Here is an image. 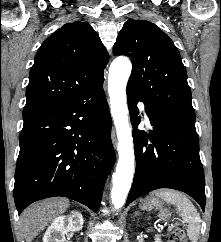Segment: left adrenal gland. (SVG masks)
Instances as JSON below:
<instances>
[{"mask_svg": "<svg viewBox=\"0 0 221 242\" xmlns=\"http://www.w3.org/2000/svg\"><path fill=\"white\" fill-rule=\"evenodd\" d=\"M135 215H138V212H135Z\"/></svg>", "mask_w": 221, "mask_h": 242, "instance_id": "a2214340", "label": "left adrenal gland"}]
</instances>
